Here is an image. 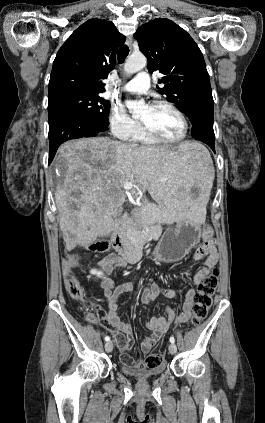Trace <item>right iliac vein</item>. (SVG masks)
I'll use <instances>...</instances> for the list:
<instances>
[{
  "mask_svg": "<svg viewBox=\"0 0 265 423\" xmlns=\"http://www.w3.org/2000/svg\"><path fill=\"white\" fill-rule=\"evenodd\" d=\"M105 350L107 352H111L113 350V343L111 341H109L105 344Z\"/></svg>",
  "mask_w": 265,
  "mask_h": 423,
  "instance_id": "63e3f726",
  "label": "right iliac vein"
}]
</instances>
